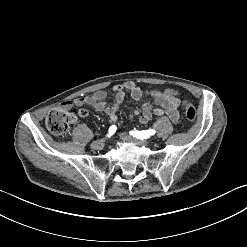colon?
<instances>
[{
  "instance_id": "1",
  "label": "colon",
  "mask_w": 247,
  "mask_h": 247,
  "mask_svg": "<svg viewBox=\"0 0 247 247\" xmlns=\"http://www.w3.org/2000/svg\"><path fill=\"white\" fill-rule=\"evenodd\" d=\"M186 117L190 121H195L197 118V110L195 107L187 102L185 104ZM69 111L54 109L48 113L45 118V125L47 130L55 135L64 137L68 134L69 127L72 124Z\"/></svg>"
}]
</instances>
